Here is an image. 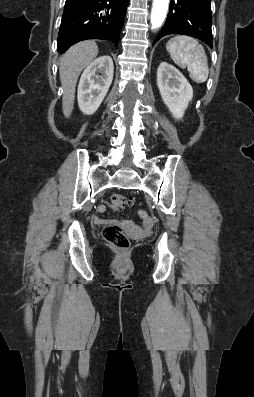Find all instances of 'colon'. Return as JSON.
<instances>
[{
  "instance_id": "colon-1",
  "label": "colon",
  "mask_w": 254,
  "mask_h": 397,
  "mask_svg": "<svg viewBox=\"0 0 254 397\" xmlns=\"http://www.w3.org/2000/svg\"><path fill=\"white\" fill-rule=\"evenodd\" d=\"M114 209L120 210L126 207H135V200L126 195L114 193L110 197ZM106 241L118 250H127L130 247V239L124 230L117 225H109L104 229Z\"/></svg>"
}]
</instances>
